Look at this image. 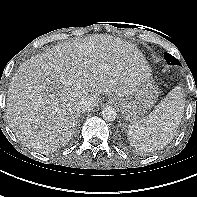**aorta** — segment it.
Wrapping results in <instances>:
<instances>
[{
    "label": "aorta",
    "instance_id": "obj_1",
    "mask_svg": "<svg viewBox=\"0 0 197 197\" xmlns=\"http://www.w3.org/2000/svg\"><path fill=\"white\" fill-rule=\"evenodd\" d=\"M101 116L104 120L112 122L116 119L117 113L113 107H105L102 109Z\"/></svg>",
    "mask_w": 197,
    "mask_h": 197
}]
</instances>
